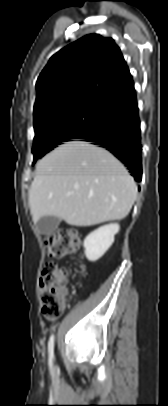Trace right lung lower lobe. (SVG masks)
<instances>
[{
  "mask_svg": "<svg viewBox=\"0 0 168 406\" xmlns=\"http://www.w3.org/2000/svg\"><path fill=\"white\" fill-rule=\"evenodd\" d=\"M106 112L97 126L78 139L106 148L141 181L142 146L134 85L108 98Z\"/></svg>",
  "mask_w": 168,
  "mask_h": 406,
  "instance_id": "obj_1",
  "label": "right lung lower lobe"
}]
</instances>
